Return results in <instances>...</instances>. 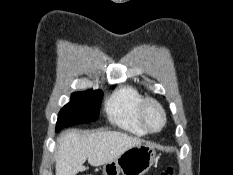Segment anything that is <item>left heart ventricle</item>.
<instances>
[{"instance_id": "1", "label": "left heart ventricle", "mask_w": 233, "mask_h": 175, "mask_svg": "<svg viewBox=\"0 0 233 175\" xmlns=\"http://www.w3.org/2000/svg\"><path fill=\"white\" fill-rule=\"evenodd\" d=\"M146 117L151 128L158 129L161 126L162 117L154 106L148 107Z\"/></svg>"}]
</instances>
